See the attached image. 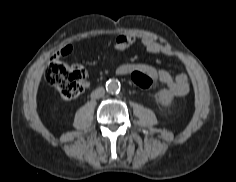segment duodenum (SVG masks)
<instances>
[{
  "label": "duodenum",
  "mask_w": 236,
  "mask_h": 182,
  "mask_svg": "<svg viewBox=\"0 0 236 182\" xmlns=\"http://www.w3.org/2000/svg\"><path fill=\"white\" fill-rule=\"evenodd\" d=\"M123 73H124L123 70L118 71V74H123Z\"/></svg>",
  "instance_id": "duodenum-1"
}]
</instances>
